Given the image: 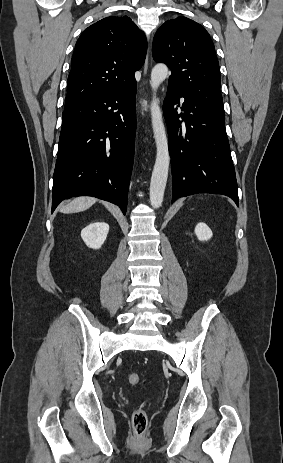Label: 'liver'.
Returning <instances> with one entry per match:
<instances>
[{
    "label": "liver",
    "mask_w": 283,
    "mask_h": 463,
    "mask_svg": "<svg viewBox=\"0 0 283 463\" xmlns=\"http://www.w3.org/2000/svg\"><path fill=\"white\" fill-rule=\"evenodd\" d=\"M96 201L97 199L93 197H77L65 206H62L59 211L64 214L82 212L90 208Z\"/></svg>",
    "instance_id": "liver-1"
}]
</instances>
